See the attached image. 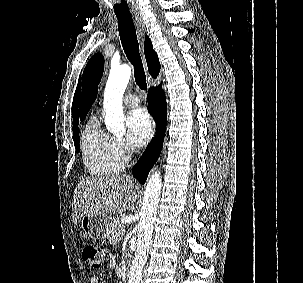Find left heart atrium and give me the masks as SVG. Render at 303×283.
I'll return each instance as SVG.
<instances>
[{
	"label": "left heart atrium",
	"mask_w": 303,
	"mask_h": 283,
	"mask_svg": "<svg viewBox=\"0 0 303 283\" xmlns=\"http://www.w3.org/2000/svg\"><path fill=\"white\" fill-rule=\"evenodd\" d=\"M127 132L129 141L135 147H141L148 141L152 132V124L145 109L137 108L128 113Z\"/></svg>",
	"instance_id": "obj_1"
}]
</instances>
